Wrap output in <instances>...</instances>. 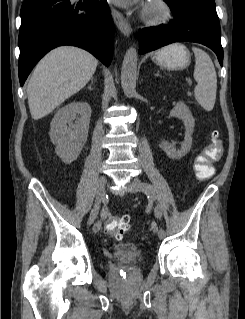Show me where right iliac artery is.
Here are the masks:
<instances>
[{
	"label": "right iliac artery",
	"mask_w": 245,
	"mask_h": 319,
	"mask_svg": "<svg viewBox=\"0 0 245 319\" xmlns=\"http://www.w3.org/2000/svg\"><path fill=\"white\" fill-rule=\"evenodd\" d=\"M106 213H107V208L105 206H103L102 212H101V216L104 217L106 215ZM100 227H101V224L99 223L98 226H97V231H99Z\"/></svg>",
	"instance_id": "obj_1"
}]
</instances>
